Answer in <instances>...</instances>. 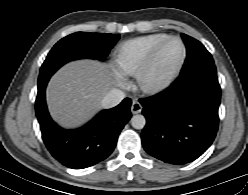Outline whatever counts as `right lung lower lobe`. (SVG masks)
Here are the masks:
<instances>
[{
    "label": "right lung lower lobe",
    "mask_w": 248,
    "mask_h": 195,
    "mask_svg": "<svg viewBox=\"0 0 248 195\" xmlns=\"http://www.w3.org/2000/svg\"><path fill=\"white\" fill-rule=\"evenodd\" d=\"M50 77L38 82L35 111L43 141L51 155L66 167L83 169L106 159L114 150L118 136L131 118V100L101 111L79 129L66 130L50 117L45 89Z\"/></svg>",
    "instance_id": "obj_1"
}]
</instances>
